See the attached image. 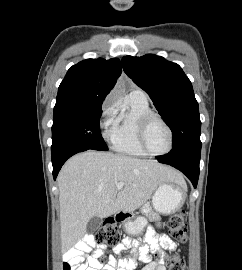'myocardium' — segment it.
<instances>
[{"label": "myocardium", "instance_id": "1", "mask_svg": "<svg viewBox=\"0 0 242 270\" xmlns=\"http://www.w3.org/2000/svg\"><path fill=\"white\" fill-rule=\"evenodd\" d=\"M154 120L159 121L167 130L168 132V136H169V145L168 148L165 152L162 153H154L152 152L146 143V133H147V129L150 125V123ZM137 137H138V143L140 145V147L142 148V150L149 156L152 157H161V156H165L167 154H169L172 149H173V142H174V138H173V131L171 129V127L169 126V124L158 114L154 113V112H150L145 114L144 116H142L138 122V131H137Z\"/></svg>", "mask_w": 242, "mask_h": 270}]
</instances>
